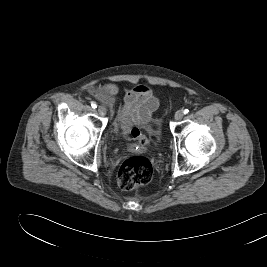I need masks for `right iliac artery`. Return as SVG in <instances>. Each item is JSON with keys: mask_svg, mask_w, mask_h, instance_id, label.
Returning a JSON list of instances; mask_svg holds the SVG:
<instances>
[{"mask_svg": "<svg viewBox=\"0 0 267 267\" xmlns=\"http://www.w3.org/2000/svg\"><path fill=\"white\" fill-rule=\"evenodd\" d=\"M92 108H97V104L95 102H91Z\"/></svg>", "mask_w": 267, "mask_h": 267, "instance_id": "82829eb1", "label": "right iliac artery"}]
</instances>
